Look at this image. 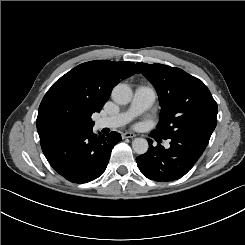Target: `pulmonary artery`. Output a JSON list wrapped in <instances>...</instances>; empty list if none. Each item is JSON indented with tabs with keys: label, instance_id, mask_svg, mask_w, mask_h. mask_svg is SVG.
<instances>
[{
	"label": "pulmonary artery",
	"instance_id": "obj_1",
	"mask_svg": "<svg viewBox=\"0 0 245 245\" xmlns=\"http://www.w3.org/2000/svg\"><path fill=\"white\" fill-rule=\"evenodd\" d=\"M156 92L150 85H139L134 91V99L130 103L128 110L101 117L95 122V129L115 128L127 124L135 116L147 111L154 103ZM164 148H168L169 144L164 143Z\"/></svg>",
	"mask_w": 245,
	"mask_h": 245
}]
</instances>
